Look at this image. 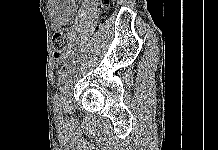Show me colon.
I'll return each instance as SVG.
<instances>
[{"label": "colon", "instance_id": "1", "mask_svg": "<svg viewBox=\"0 0 218 150\" xmlns=\"http://www.w3.org/2000/svg\"><path fill=\"white\" fill-rule=\"evenodd\" d=\"M114 0H100L99 12L105 14L113 5ZM70 38V32L67 28L59 29L53 37V52L55 58L59 57L66 49Z\"/></svg>", "mask_w": 218, "mask_h": 150}]
</instances>
